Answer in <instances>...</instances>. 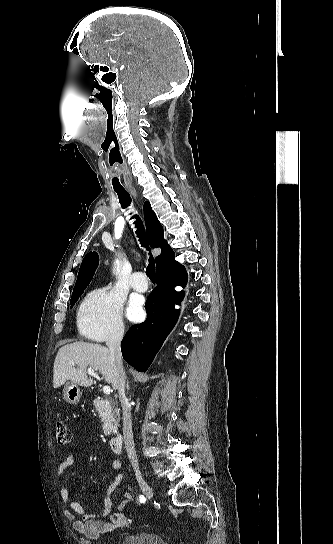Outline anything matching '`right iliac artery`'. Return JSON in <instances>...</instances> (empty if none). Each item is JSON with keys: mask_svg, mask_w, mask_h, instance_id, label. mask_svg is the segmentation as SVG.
I'll return each mask as SVG.
<instances>
[{"mask_svg": "<svg viewBox=\"0 0 333 544\" xmlns=\"http://www.w3.org/2000/svg\"><path fill=\"white\" fill-rule=\"evenodd\" d=\"M145 500H146V499H145V497H144L143 495L139 497V501H140V502H145Z\"/></svg>", "mask_w": 333, "mask_h": 544, "instance_id": "right-iliac-artery-1", "label": "right iliac artery"}]
</instances>
